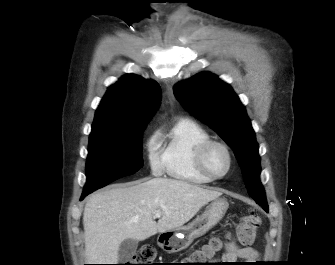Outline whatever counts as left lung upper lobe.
Wrapping results in <instances>:
<instances>
[{
	"mask_svg": "<svg viewBox=\"0 0 335 265\" xmlns=\"http://www.w3.org/2000/svg\"><path fill=\"white\" fill-rule=\"evenodd\" d=\"M174 94L189 112L215 130L232 148L248 194L268 211L259 180L260 157L255 132L245 107L232 88L215 75L202 72L177 84Z\"/></svg>",
	"mask_w": 335,
	"mask_h": 265,
	"instance_id": "obj_1",
	"label": "left lung upper lobe"
}]
</instances>
